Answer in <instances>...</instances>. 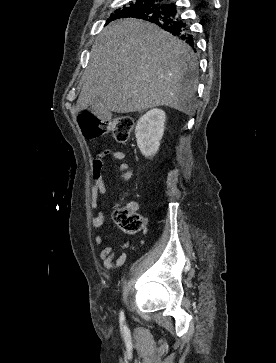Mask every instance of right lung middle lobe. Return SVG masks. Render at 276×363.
I'll return each mask as SVG.
<instances>
[{
  "label": "right lung middle lobe",
  "mask_w": 276,
  "mask_h": 363,
  "mask_svg": "<svg viewBox=\"0 0 276 363\" xmlns=\"http://www.w3.org/2000/svg\"><path fill=\"white\" fill-rule=\"evenodd\" d=\"M161 3H163V1L160 0H137L135 4H130V6L111 14V18L108 19L107 23L117 18L135 16L136 14L142 13L143 11Z\"/></svg>",
  "instance_id": "obj_1"
}]
</instances>
